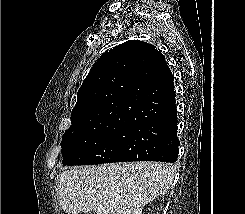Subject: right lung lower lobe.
Returning a JSON list of instances; mask_svg holds the SVG:
<instances>
[{"mask_svg":"<svg viewBox=\"0 0 245 214\" xmlns=\"http://www.w3.org/2000/svg\"><path fill=\"white\" fill-rule=\"evenodd\" d=\"M137 101L141 112L128 125L116 162H175L179 151L177 111L173 76L168 66L162 90L153 95L142 94Z\"/></svg>","mask_w":245,"mask_h":214,"instance_id":"obj_1","label":"right lung lower lobe"}]
</instances>
